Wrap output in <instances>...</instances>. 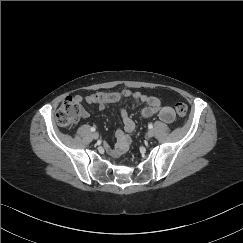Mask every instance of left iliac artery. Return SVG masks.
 I'll return each instance as SVG.
<instances>
[{"instance_id": "obj_1", "label": "left iliac artery", "mask_w": 243, "mask_h": 243, "mask_svg": "<svg viewBox=\"0 0 243 243\" xmlns=\"http://www.w3.org/2000/svg\"><path fill=\"white\" fill-rule=\"evenodd\" d=\"M148 128H149V129H152V128H153V125L150 123V124L148 125Z\"/></svg>"}]
</instances>
